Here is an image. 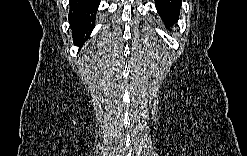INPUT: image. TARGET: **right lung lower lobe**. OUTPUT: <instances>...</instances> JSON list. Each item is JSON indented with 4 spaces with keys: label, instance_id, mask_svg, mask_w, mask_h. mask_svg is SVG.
<instances>
[{
    "label": "right lung lower lobe",
    "instance_id": "obj_1",
    "mask_svg": "<svg viewBox=\"0 0 247 156\" xmlns=\"http://www.w3.org/2000/svg\"><path fill=\"white\" fill-rule=\"evenodd\" d=\"M98 5L97 0H70L69 22L77 45H82L95 27Z\"/></svg>",
    "mask_w": 247,
    "mask_h": 156
}]
</instances>
